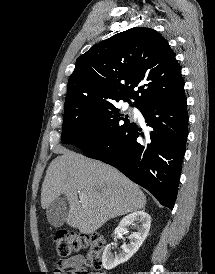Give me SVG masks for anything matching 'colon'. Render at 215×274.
Wrapping results in <instances>:
<instances>
[{
    "label": "colon",
    "mask_w": 215,
    "mask_h": 274,
    "mask_svg": "<svg viewBox=\"0 0 215 274\" xmlns=\"http://www.w3.org/2000/svg\"><path fill=\"white\" fill-rule=\"evenodd\" d=\"M56 251L61 257H68L72 253L87 250V265L100 270L103 265V250L105 248V239L99 233H73L66 230L58 231L54 236ZM80 274L89 273L86 270Z\"/></svg>",
    "instance_id": "1"
}]
</instances>
